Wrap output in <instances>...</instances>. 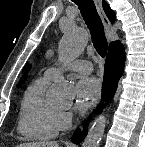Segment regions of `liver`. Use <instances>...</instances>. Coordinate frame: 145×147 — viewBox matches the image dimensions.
Instances as JSON below:
<instances>
[{"label":"liver","mask_w":145,"mask_h":147,"mask_svg":"<svg viewBox=\"0 0 145 147\" xmlns=\"http://www.w3.org/2000/svg\"><path fill=\"white\" fill-rule=\"evenodd\" d=\"M17 147H59L57 142H33V143H23Z\"/></svg>","instance_id":"obj_1"}]
</instances>
